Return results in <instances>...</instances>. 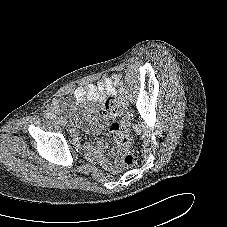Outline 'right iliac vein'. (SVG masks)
Here are the masks:
<instances>
[{
	"label": "right iliac vein",
	"instance_id": "right-iliac-vein-1",
	"mask_svg": "<svg viewBox=\"0 0 227 227\" xmlns=\"http://www.w3.org/2000/svg\"><path fill=\"white\" fill-rule=\"evenodd\" d=\"M54 120L58 123V124H61L63 126L66 125V121L62 118V117H55Z\"/></svg>",
	"mask_w": 227,
	"mask_h": 227
}]
</instances>
